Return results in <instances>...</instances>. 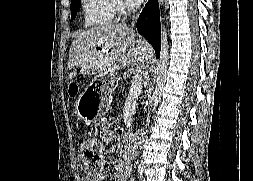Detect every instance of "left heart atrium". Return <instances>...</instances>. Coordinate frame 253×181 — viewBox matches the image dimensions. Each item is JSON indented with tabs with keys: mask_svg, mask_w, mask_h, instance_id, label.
I'll return each instance as SVG.
<instances>
[{
	"mask_svg": "<svg viewBox=\"0 0 253 181\" xmlns=\"http://www.w3.org/2000/svg\"><path fill=\"white\" fill-rule=\"evenodd\" d=\"M132 6H140L144 0H128Z\"/></svg>",
	"mask_w": 253,
	"mask_h": 181,
	"instance_id": "obj_1",
	"label": "left heart atrium"
}]
</instances>
